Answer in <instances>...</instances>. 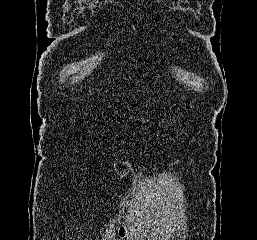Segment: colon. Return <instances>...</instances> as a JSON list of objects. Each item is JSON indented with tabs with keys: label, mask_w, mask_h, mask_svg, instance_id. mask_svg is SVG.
Here are the masks:
<instances>
[{
	"label": "colon",
	"mask_w": 257,
	"mask_h": 240,
	"mask_svg": "<svg viewBox=\"0 0 257 240\" xmlns=\"http://www.w3.org/2000/svg\"><path fill=\"white\" fill-rule=\"evenodd\" d=\"M135 224L136 223H134L133 221H129L126 224H124L123 226H121L119 229V232H118L119 238L121 240H128L133 232Z\"/></svg>",
	"instance_id": "1"
}]
</instances>
